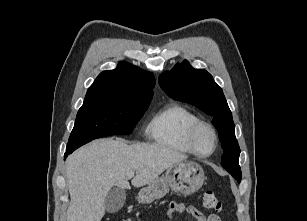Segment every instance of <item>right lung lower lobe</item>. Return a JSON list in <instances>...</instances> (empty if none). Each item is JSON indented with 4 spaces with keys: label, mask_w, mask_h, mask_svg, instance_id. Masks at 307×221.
Returning <instances> with one entry per match:
<instances>
[{
    "label": "right lung lower lobe",
    "mask_w": 307,
    "mask_h": 221,
    "mask_svg": "<svg viewBox=\"0 0 307 221\" xmlns=\"http://www.w3.org/2000/svg\"><path fill=\"white\" fill-rule=\"evenodd\" d=\"M67 155H68V154H67V153H65L64 157L66 158V157H67Z\"/></svg>",
    "instance_id": "98d812e1"
}]
</instances>
